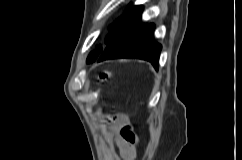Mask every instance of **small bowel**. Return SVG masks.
<instances>
[{"instance_id":"1","label":"small bowel","mask_w":242,"mask_h":160,"mask_svg":"<svg viewBox=\"0 0 242 160\" xmlns=\"http://www.w3.org/2000/svg\"><path fill=\"white\" fill-rule=\"evenodd\" d=\"M116 126L120 129L121 140L118 143L120 153L125 160H133L136 155L135 143L137 138L135 135L133 140L126 138L129 128L126 126L125 120H117Z\"/></svg>"}]
</instances>
